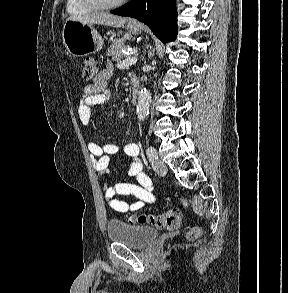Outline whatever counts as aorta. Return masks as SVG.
I'll list each match as a JSON object with an SVG mask.
<instances>
[{
	"mask_svg": "<svg viewBox=\"0 0 288 293\" xmlns=\"http://www.w3.org/2000/svg\"><path fill=\"white\" fill-rule=\"evenodd\" d=\"M150 101H151L150 92L146 88H143L140 91L138 104H137V117L140 121H143L148 115Z\"/></svg>",
	"mask_w": 288,
	"mask_h": 293,
	"instance_id": "aorta-1",
	"label": "aorta"
}]
</instances>
